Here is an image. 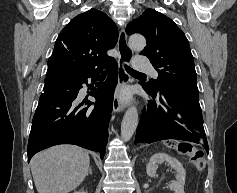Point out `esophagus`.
I'll return each instance as SVG.
<instances>
[{
	"instance_id": "34e87169",
	"label": "esophagus",
	"mask_w": 237,
	"mask_h": 193,
	"mask_svg": "<svg viewBox=\"0 0 237 193\" xmlns=\"http://www.w3.org/2000/svg\"><path fill=\"white\" fill-rule=\"evenodd\" d=\"M117 45H118V51L120 54V59L118 61V65H119L118 88L116 90V93L113 99V112L115 113L121 112L124 109L123 102L121 101V98L119 95V90L122 86L130 83L131 81V77L126 72L125 66L130 64L132 56H133V51L128 46L127 35L124 28H122L119 32Z\"/></svg>"
}]
</instances>
